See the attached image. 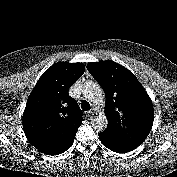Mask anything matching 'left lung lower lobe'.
<instances>
[{
    "instance_id": "1",
    "label": "left lung lower lobe",
    "mask_w": 177,
    "mask_h": 177,
    "mask_svg": "<svg viewBox=\"0 0 177 177\" xmlns=\"http://www.w3.org/2000/svg\"><path fill=\"white\" fill-rule=\"evenodd\" d=\"M102 143L109 149L116 151V152H120V153H124V152H128L132 149H134L133 147H126V146H122L120 143L115 142V141H107V140H102Z\"/></svg>"
}]
</instances>
